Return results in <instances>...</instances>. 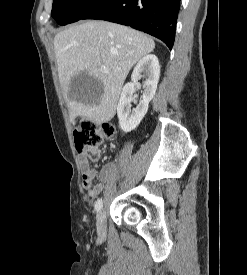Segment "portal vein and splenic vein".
<instances>
[{"label": "portal vein and splenic vein", "instance_id": "portal-vein-and-splenic-vein-1", "mask_svg": "<svg viewBox=\"0 0 247 275\" xmlns=\"http://www.w3.org/2000/svg\"><path fill=\"white\" fill-rule=\"evenodd\" d=\"M102 71H103V72H108V69H107L105 66H103V67H102Z\"/></svg>", "mask_w": 247, "mask_h": 275}]
</instances>
